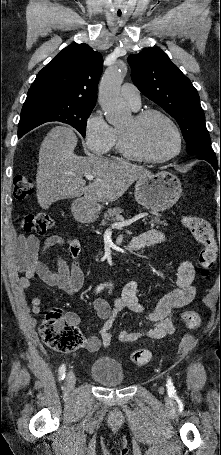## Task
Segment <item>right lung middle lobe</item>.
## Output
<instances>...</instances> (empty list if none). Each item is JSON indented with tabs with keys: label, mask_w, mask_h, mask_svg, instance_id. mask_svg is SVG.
Returning a JSON list of instances; mask_svg holds the SVG:
<instances>
[{
	"label": "right lung middle lobe",
	"mask_w": 221,
	"mask_h": 455,
	"mask_svg": "<svg viewBox=\"0 0 221 455\" xmlns=\"http://www.w3.org/2000/svg\"><path fill=\"white\" fill-rule=\"evenodd\" d=\"M94 105H76L63 103H34L23 105L18 125L20 138L31 129L49 121H60L76 128L83 137L86 122Z\"/></svg>",
	"instance_id": "1"
}]
</instances>
